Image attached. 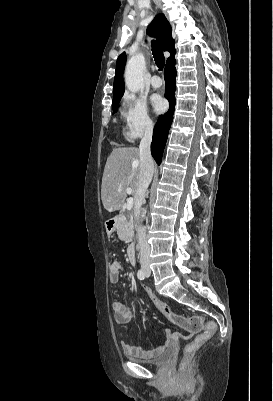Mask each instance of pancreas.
<instances>
[{
    "label": "pancreas",
    "mask_w": 273,
    "mask_h": 401,
    "mask_svg": "<svg viewBox=\"0 0 273 401\" xmlns=\"http://www.w3.org/2000/svg\"><path fill=\"white\" fill-rule=\"evenodd\" d=\"M116 229L120 241L130 243L134 235V223L132 215H130V217H125V215H121V217L117 219Z\"/></svg>",
    "instance_id": "obj_1"
}]
</instances>
